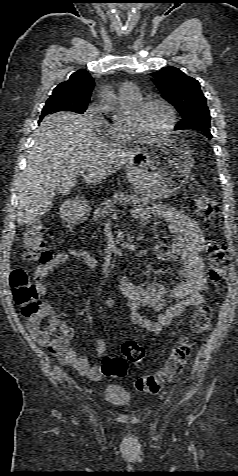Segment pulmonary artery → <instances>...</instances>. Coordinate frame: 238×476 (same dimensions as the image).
<instances>
[{
    "mask_svg": "<svg viewBox=\"0 0 238 476\" xmlns=\"http://www.w3.org/2000/svg\"><path fill=\"white\" fill-rule=\"evenodd\" d=\"M120 95L124 97L130 98H138L140 97V91L138 87L133 83H124L120 87Z\"/></svg>",
    "mask_w": 238,
    "mask_h": 476,
    "instance_id": "obj_1",
    "label": "pulmonary artery"
}]
</instances>
